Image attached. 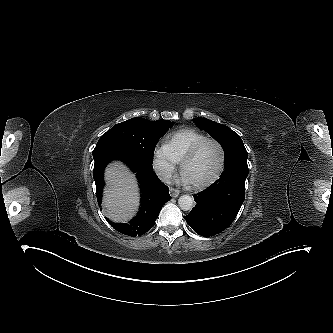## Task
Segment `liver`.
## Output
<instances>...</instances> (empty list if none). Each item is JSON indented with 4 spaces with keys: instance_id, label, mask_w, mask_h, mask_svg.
Segmentation results:
<instances>
[{
    "instance_id": "obj_1",
    "label": "liver",
    "mask_w": 333,
    "mask_h": 333,
    "mask_svg": "<svg viewBox=\"0 0 333 333\" xmlns=\"http://www.w3.org/2000/svg\"><path fill=\"white\" fill-rule=\"evenodd\" d=\"M105 179V215L115 222L124 223L133 217L139 205L135 176L121 162H113L106 168Z\"/></svg>"
}]
</instances>
